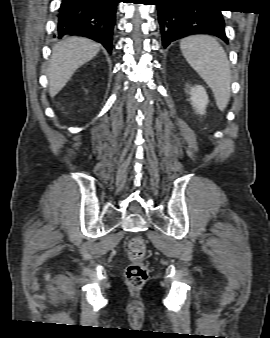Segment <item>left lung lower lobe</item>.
<instances>
[{
    "label": "left lung lower lobe",
    "instance_id": "obj_1",
    "mask_svg": "<svg viewBox=\"0 0 270 338\" xmlns=\"http://www.w3.org/2000/svg\"><path fill=\"white\" fill-rule=\"evenodd\" d=\"M162 42L192 34H210L228 43L221 9L215 0H156Z\"/></svg>",
    "mask_w": 270,
    "mask_h": 338
}]
</instances>
